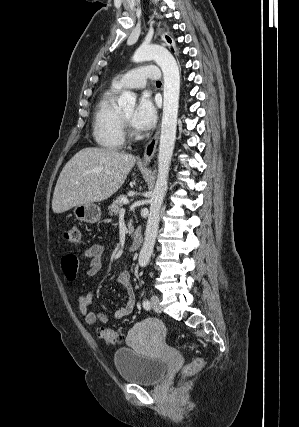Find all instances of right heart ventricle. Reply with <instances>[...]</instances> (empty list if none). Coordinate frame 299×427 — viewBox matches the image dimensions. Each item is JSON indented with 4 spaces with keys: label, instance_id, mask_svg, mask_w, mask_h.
Returning <instances> with one entry per match:
<instances>
[{
    "label": "right heart ventricle",
    "instance_id": "obj_1",
    "mask_svg": "<svg viewBox=\"0 0 299 427\" xmlns=\"http://www.w3.org/2000/svg\"><path fill=\"white\" fill-rule=\"evenodd\" d=\"M119 90L114 86L106 89L99 97L93 114V137L98 146L105 150H119L124 145V129L120 112L115 106Z\"/></svg>",
    "mask_w": 299,
    "mask_h": 427
}]
</instances>
